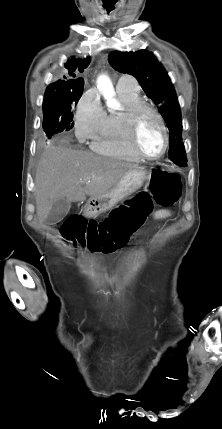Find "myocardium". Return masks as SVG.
Returning a JSON list of instances; mask_svg holds the SVG:
<instances>
[{"label":"myocardium","mask_w":222,"mask_h":429,"mask_svg":"<svg viewBox=\"0 0 222 429\" xmlns=\"http://www.w3.org/2000/svg\"><path fill=\"white\" fill-rule=\"evenodd\" d=\"M143 113L152 114L157 119V121L159 122L162 133H163L164 147L159 154L154 155V156L145 154L141 150V148L138 144L137 129H138V123H139L140 117ZM124 118H125V126H126L128 144L137 156H139L141 159H144V160L153 161V160H158V159L162 158L166 154V152L168 151L169 145H170L168 128L166 126V123H165L163 117L154 107H152L151 105H149L143 101L138 102L134 105L129 106L125 110Z\"/></svg>","instance_id":"f54148a6"}]
</instances>
